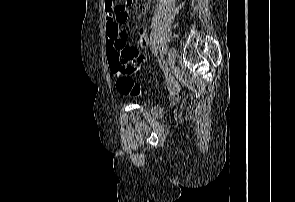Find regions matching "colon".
Wrapping results in <instances>:
<instances>
[{
  "label": "colon",
  "instance_id": "colon-1",
  "mask_svg": "<svg viewBox=\"0 0 295 202\" xmlns=\"http://www.w3.org/2000/svg\"><path fill=\"white\" fill-rule=\"evenodd\" d=\"M112 71L116 76V87L120 93L133 97L140 94V86L132 78V70L129 64L116 63L113 65Z\"/></svg>",
  "mask_w": 295,
  "mask_h": 202
}]
</instances>
